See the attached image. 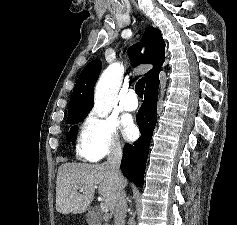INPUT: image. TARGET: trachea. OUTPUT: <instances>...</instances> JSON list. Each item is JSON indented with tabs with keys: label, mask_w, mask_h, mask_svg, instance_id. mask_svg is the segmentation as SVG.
Here are the masks:
<instances>
[{
	"label": "trachea",
	"mask_w": 237,
	"mask_h": 225,
	"mask_svg": "<svg viewBox=\"0 0 237 225\" xmlns=\"http://www.w3.org/2000/svg\"><path fill=\"white\" fill-rule=\"evenodd\" d=\"M144 87L145 79L141 78L135 85V92L140 98H143Z\"/></svg>",
	"instance_id": "trachea-1"
}]
</instances>
